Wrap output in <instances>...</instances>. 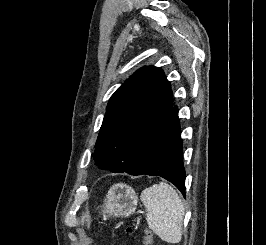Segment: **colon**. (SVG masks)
Returning <instances> with one entry per match:
<instances>
[{
	"label": "colon",
	"instance_id": "1",
	"mask_svg": "<svg viewBox=\"0 0 266 245\" xmlns=\"http://www.w3.org/2000/svg\"><path fill=\"white\" fill-rule=\"evenodd\" d=\"M126 231L131 234L135 229L133 227H128ZM143 245H153V237L149 231L144 232Z\"/></svg>",
	"mask_w": 266,
	"mask_h": 245
}]
</instances>
